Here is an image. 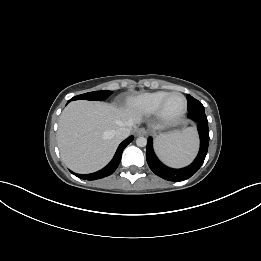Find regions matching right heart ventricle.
Instances as JSON below:
<instances>
[{"label":"right heart ventricle","mask_w":261,"mask_h":261,"mask_svg":"<svg viewBox=\"0 0 261 261\" xmlns=\"http://www.w3.org/2000/svg\"><path fill=\"white\" fill-rule=\"evenodd\" d=\"M168 94L166 91H157L151 93H144L131 98L128 101L129 107L140 114L151 115L157 112V109Z\"/></svg>","instance_id":"e07e8e85"}]
</instances>
